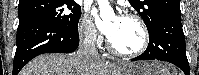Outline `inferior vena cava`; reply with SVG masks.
<instances>
[{"label":"inferior vena cava","mask_w":199,"mask_h":75,"mask_svg":"<svg viewBox=\"0 0 199 75\" xmlns=\"http://www.w3.org/2000/svg\"><path fill=\"white\" fill-rule=\"evenodd\" d=\"M96 33L94 30H90L85 34L82 44L80 45L79 52H82L85 56L93 59H99V54L95 46Z\"/></svg>","instance_id":"602c4592"}]
</instances>
